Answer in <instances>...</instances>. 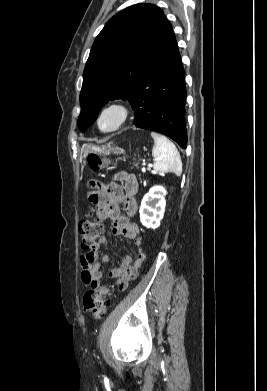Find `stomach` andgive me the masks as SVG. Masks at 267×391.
<instances>
[{
  "label": "stomach",
  "instance_id": "1",
  "mask_svg": "<svg viewBox=\"0 0 267 391\" xmlns=\"http://www.w3.org/2000/svg\"><path fill=\"white\" fill-rule=\"evenodd\" d=\"M111 151H113L115 154H119L120 153L118 147H113L111 149H109V148L107 149V148H104V147H99V146H94V145H87L83 149L84 157L87 156L91 152H96V153L108 155V154H110Z\"/></svg>",
  "mask_w": 267,
  "mask_h": 391
}]
</instances>
